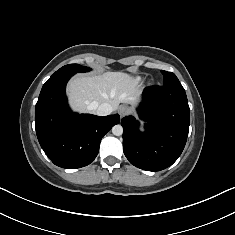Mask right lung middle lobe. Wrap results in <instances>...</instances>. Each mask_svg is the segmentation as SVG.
<instances>
[{"mask_svg":"<svg viewBox=\"0 0 235 235\" xmlns=\"http://www.w3.org/2000/svg\"><path fill=\"white\" fill-rule=\"evenodd\" d=\"M89 70H90V68H88V67H83L78 64H69V65L63 66L62 68L57 70L53 75L59 74V73H69V72H72V73L87 72Z\"/></svg>","mask_w":235,"mask_h":235,"instance_id":"1","label":"right lung middle lobe"}]
</instances>
